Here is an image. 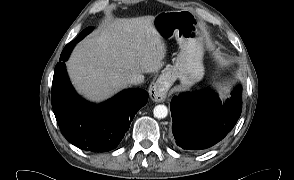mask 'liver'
<instances>
[{
    "label": "liver",
    "mask_w": 294,
    "mask_h": 180,
    "mask_svg": "<svg viewBox=\"0 0 294 180\" xmlns=\"http://www.w3.org/2000/svg\"><path fill=\"white\" fill-rule=\"evenodd\" d=\"M154 17L117 18L83 39L67 62L75 88L99 102L126 88L132 74L162 68L166 45Z\"/></svg>",
    "instance_id": "obj_1"
}]
</instances>
